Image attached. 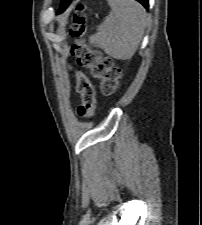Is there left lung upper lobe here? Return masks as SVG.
Wrapping results in <instances>:
<instances>
[{
	"instance_id": "obj_1",
	"label": "left lung upper lobe",
	"mask_w": 202,
	"mask_h": 225,
	"mask_svg": "<svg viewBox=\"0 0 202 225\" xmlns=\"http://www.w3.org/2000/svg\"><path fill=\"white\" fill-rule=\"evenodd\" d=\"M70 2L71 0H62L60 12H63L66 9V7L70 4Z\"/></svg>"
}]
</instances>
